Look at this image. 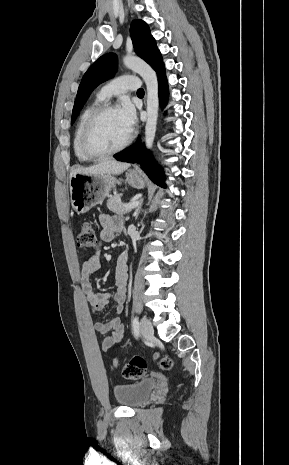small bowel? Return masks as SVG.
Here are the masks:
<instances>
[{
    "mask_svg": "<svg viewBox=\"0 0 289 465\" xmlns=\"http://www.w3.org/2000/svg\"><path fill=\"white\" fill-rule=\"evenodd\" d=\"M102 231L100 242H110L117 232L122 229V220L118 216L103 214L100 216ZM101 268L99 251L85 257L81 262L80 280L83 292L91 305L94 313L102 311L112 299L115 302L116 313L123 311V304L126 295L128 280V261H123L121 256L117 260L114 282L115 289L112 293H100L94 290L91 277ZM95 329L103 335L102 349L109 351L120 343L124 337V326L118 317H114L107 322L96 321Z\"/></svg>",
    "mask_w": 289,
    "mask_h": 465,
    "instance_id": "c3829d8e",
    "label": "small bowel"
}]
</instances>
